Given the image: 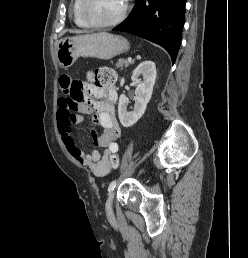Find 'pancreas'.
Here are the masks:
<instances>
[{"instance_id":"obj_1","label":"pancreas","mask_w":248,"mask_h":258,"mask_svg":"<svg viewBox=\"0 0 248 258\" xmlns=\"http://www.w3.org/2000/svg\"><path fill=\"white\" fill-rule=\"evenodd\" d=\"M131 62L126 60V59H119L118 62L116 63V66L118 68H123L124 66H128Z\"/></svg>"}]
</instances>
